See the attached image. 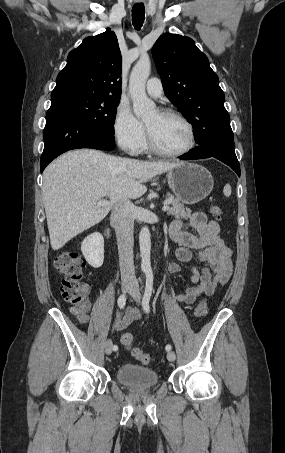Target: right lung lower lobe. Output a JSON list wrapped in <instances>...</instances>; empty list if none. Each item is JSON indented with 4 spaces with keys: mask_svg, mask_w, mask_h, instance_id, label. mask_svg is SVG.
Masks as SVG:
<instances>
[{
    "mask_svg": "<svg viewBox=\"0 0 285 453\" xmlns=\"http://www.w3.org/2000/svg\"><path fill=\"white\" fill-rule=\"evenodd\" d=\"M44 150L41 156V172L60 154L78 148L112 150L115 142L88 127L69 109L51 105L46 114L43 131Z\"/></svg>",
    "mask_w": 285,
    "mask_h": 453,
    "instance_id": "1",
    "label": "right lung lower lobe"
}]
</instances>
